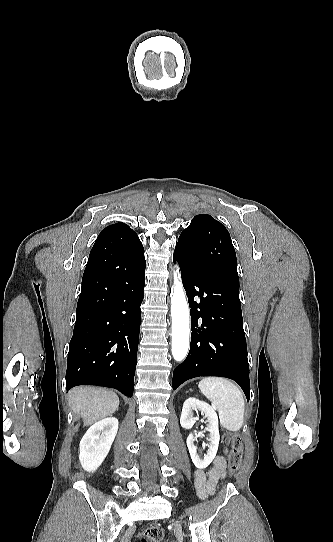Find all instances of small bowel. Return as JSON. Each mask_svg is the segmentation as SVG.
Listing matches in <instances>:
<instances>
[{"instance_id":"c3829d8e","label":"small bowel","mask_w":333,"mask_h":542,"mask_svg":"<svg viewBox=\"0 0 333 542\" xmlns=\"http://www.w3.org/2000/svg\"><path fill=\"white\" fill-rule=\"evenodd\" d=\"M226 473V460L222 456H216L207 472L197 470L195 472V489L201 499H207L215 492L217 484L224 478Z\"/></svg>"}]
</instances>
